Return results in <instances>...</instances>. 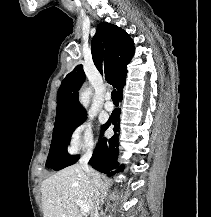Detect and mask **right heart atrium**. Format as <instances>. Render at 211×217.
<instances>
[{"label":"right heart atrium","instance_id":"d8ad5b80","mask_svg":"<svg viewBox=\"0 0 211 217\" xmlns=\"http://www.w3.org/2000/svg\"><path fill=\"white\" fill-rule=\"evenodd\" d=\"M94 146L93 126L90 121H82L71 132L68 141V151L75 153L81 149H91Z\"/></svg>","mask_w":211,"mask_h":217}]
</instances>
